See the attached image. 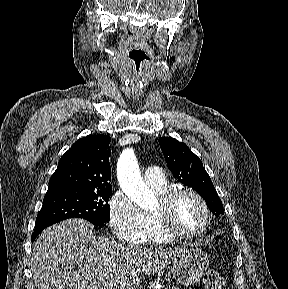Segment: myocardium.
I'll return each mask as SVG.
<instances>
[{"mask_svg":"<svg viewBox=\"0 0 288 289\" xmlns=\"http://www.w3.org/2000/svg\"><path fill=\"white\" fill-rule=\"evenodd\" d=\"M182 196H191L195 198L203 210V224L198 230L194 232L184 233L174 227L172 219V208L175 201ZM154 216L160 229L174 240H190L201 236L208 230L211 220L209 206L205 199L197 191L189 188L172 189L164 194H161L159 199V206L154 211Z\"/></svg>","mask_w":288,"mask_h":289,"instance_id":"myocardium-1","label":"myocardium"}]
</instances>
